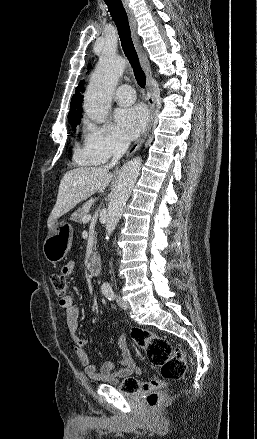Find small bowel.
I'll list each match as a JSON object with an SVG mask.
<instances>
[{"mask_svg": "<svg viewBox=\"0 0 257 439\" xmlns=\"http://www.w3.org/2000/svg\"><path fill=\"white\" fill-rule=\"evenodd\" d=\"M74 272V263L69 261L62 266L61 274L69 276ZM59 305L65 309L66 329L74 341V351L79 358L85 374L94 381L117 384L121 379L139 373L125 336L118 339L120 359L117 362H105L98 371L87 351V341L78 335L79 307L72 296L67 295L59 300Z\"/></svg>", "mask_w": 257, "mask_h": 439, "instance_id": "1", "label": "small bowel"}]
</instances>
